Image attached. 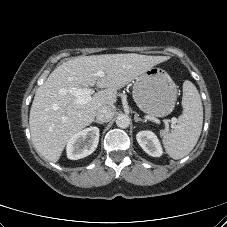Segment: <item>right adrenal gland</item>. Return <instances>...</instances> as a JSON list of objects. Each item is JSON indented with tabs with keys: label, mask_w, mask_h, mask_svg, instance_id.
<instances>
[{
	"label": "right adrenal gland",
	"mask_w": 227,
	"mask_h": 227,
	"mask_svg": "<svg viewBox=\"0 0 227 227\" xmlns=\"http://www.w3.org/2000/svg\"><path fill=\"white\" fill-rule=\"evenodd\" d=\"M93 122H94V123L101 124V125L104 124V122H102V121H100V120H97V119L93 120Z\"/></svg>",
	"instance_id": "1"
}]
</instances>
